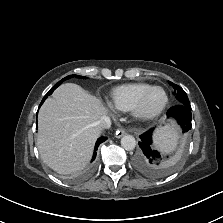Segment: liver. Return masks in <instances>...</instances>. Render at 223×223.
I'll use <instances>...</instances> for the list:
<instances>
[{"mask_svg":"<svg viewBox=\"0 0 223 223\" xmlns=\"http://www.w3.org/2000/svg\"><path fill=\"white\" fill-rule=\"evenodd\" d=\"M106 114L101 101L79 85H60L38 114L37 146L43 162L60 174L82 170L100 135L95 122Z\"/></svg>","mask_w":223,"mask_h":223,"instance_id":"liver-1","label":"liver"}]
</instances>
